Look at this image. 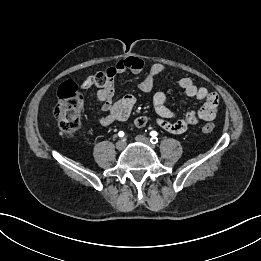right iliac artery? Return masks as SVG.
Wrapping results in <instances>:
<instances>
[{"mask_svg":"<svg viewBox=\"0 0 261 261\" xmlns=\"http://www.w3.org/2000/svg\"><path fill=\"white\" fill-rule=\"evenodd\" d=\"M118 135H119V137H124V132H123V131H120V132L118 133Z\"/></svg>","mask_w":261,"mask_h":261,"instance_id":"obj_1","label":"right iliac artery"}]
</instances>
